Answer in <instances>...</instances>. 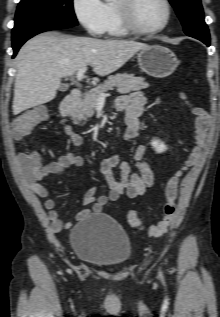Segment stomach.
I'll return each mask as SVG.
<instances>
[{"mask_svg":"<svg viewBox=\"0 0 220 317\" xmlns=\"http://www.w3.org/2000/svg\"><path fill=\"white\" fill-rule=\"evenodd\" d=\"M137 59L141 70L155 78L171 75L179 64L176 55L161 45H150L141 49Z\"/></svg>","mask_w":220,"mask_h":317,"instance_id":"obj_1","label":"stomach"}]
</instances>
